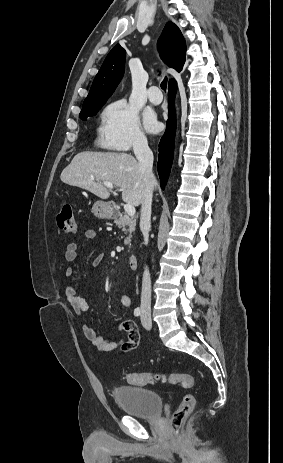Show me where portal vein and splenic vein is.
Segmentation results:
<instances>
[{"instance_id": "portal-vein-and-splenic-vein-1", "label": "portal vein and splenic vein", "mask_w": 283, "mask_h": 463, "mask_svg": "<svg viewBox=\"0 0 283 463\" xmlns=\"http://www.w3.org/2000/svg\"><path fill=\"white\" fill-rule=\"evenodd\" d=\"M102 183H103L107 188H109L110 190L113 189V184H112L111 182H109V181H102ZM124 210H125V212L127 213V215H128V216H131V217L134 216V214H135V212H136V211H135V207H134L132 204H128V203L124 205Z\"/></svg>"}]
</instances>
